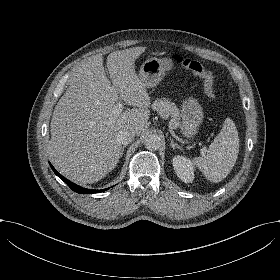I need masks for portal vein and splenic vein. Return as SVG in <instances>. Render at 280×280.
I'll list each match as a JSON object with an SVG mask.
<instances>
[{"label":"portal vein and splenic vein","mask_w":280,"mask_h":280,"mask_svg":"<svg viewBox=\"0 0 280 280\" xmlns=\"http://www.w3.org/2000/svg\"><path fill=\"white\" fill-rule=\"evenodd\" d=\"M117 107H118L120 110H122V109H123L122 103H119Z\"/></svg>","instance_id":"18ae733b"}]
</instances>
